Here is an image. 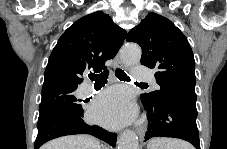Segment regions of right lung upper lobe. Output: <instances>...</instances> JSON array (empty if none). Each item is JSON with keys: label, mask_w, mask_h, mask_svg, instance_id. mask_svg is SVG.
<instances>
[{"label": "right lung upper lobe", "mask_w": 227, "mask_h": 149, "mask_svg": "<svg viewBox=\"0 0 227 149\" xmlns=\"http://www.w3.org/2000/svg\"><path fill=\"white\" fill-rule=\"evenodd\" d=\"M126 32L101 11L77 20L59 38L44 73L43 88L55 84L77 86L85 71L100 72L114 58Z\"/></svg>", "instance_id": "cb5924a9"}]
</instances>
